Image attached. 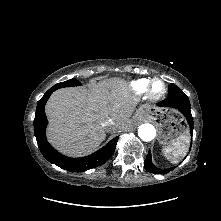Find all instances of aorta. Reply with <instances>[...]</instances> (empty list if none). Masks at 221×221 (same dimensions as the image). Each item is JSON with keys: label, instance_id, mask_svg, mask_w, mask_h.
Segmentation results:
<instances>
[{"label": "aorta", "instance_id": "obj_1", "mask_svg": "<svg viewBox=\"0 0 221 221\" xmlns=\"http://www.w3.org/2000/svg\"><path fill=\"white\" fill-rule=\"evenodd\" d=\"M156 130L153 125L146 123L139 126L138 136L146 142H149L155 138Z\"/></svg>", "mask_w": 221, "mask_h": 221}]
</instances>
